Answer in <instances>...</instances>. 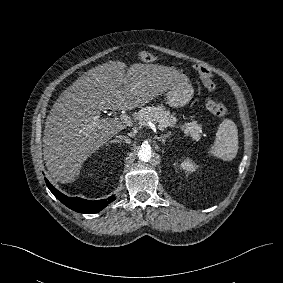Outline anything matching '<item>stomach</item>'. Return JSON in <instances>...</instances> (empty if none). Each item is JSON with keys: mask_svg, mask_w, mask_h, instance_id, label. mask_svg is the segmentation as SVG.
<instances>
[{"mask_svg": "<svg viewBox=\"0 0 283 283\" xmlns=\"http://www.w3.org/2000/svg\"><path fill=\"white\" fill-rule=\"evenodd\" d=\"M194 95V89L186 80H181L172 86L166 93V103L179 108L187 105Z\"/></svg>", "mask_w": 283, "mask_h": 283, "instance_id": "0dacf381", "label": "stomach"}]
</instances>
